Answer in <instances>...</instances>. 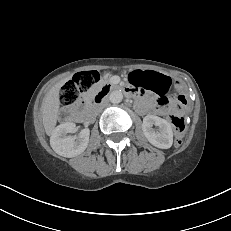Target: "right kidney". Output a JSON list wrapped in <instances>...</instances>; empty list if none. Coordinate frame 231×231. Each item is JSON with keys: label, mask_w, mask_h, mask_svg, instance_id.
I'll use <instances>...</instances> for the list:
<instances>
[{"label": "right kidney", "mask_w": 231, "mask_h": 231, "mask_svg": "<svg viewBox=\"0 0 231 231\" xmlns=\"http://www.w3.org/2000/svg\"><path fill=\"white\" fill-rule=\"evenodd\" d=\"M76 131L74 122H66L57 126L50 138L52 149L59 155L64 157H74L81 154L89 143V129H83L78 137L67 136L68 133Z\"/></svg>", "instance_id": "ca27d5eb"}]
</instances>
